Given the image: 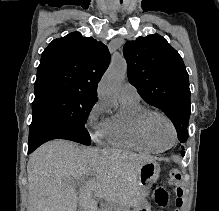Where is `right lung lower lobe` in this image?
<instances>
[{
    "label": "right lung lower lobe",
    "instance_id": "1",
    "mask_svg": "<svg viewBox=\"0 0 219 211\" xmlns=\"http://www.w3.org/2000/svg\"><path fill=\"white\" fill-rule=\"evenodd\" d=\"M53 139H66L84 145H90L84 141L80 133L74 130L53 124L40 123L34 127H30L28 154L32 153L43 143Z\"/></svg>",
    "mask_w": 219,
    "mask_h": 211
}]
</instances>
